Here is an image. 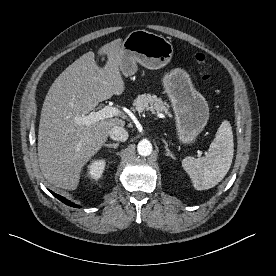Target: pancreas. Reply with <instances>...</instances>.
<instances>
[{"instance_id":"1","label":"pancreas","mask_w":276,"mask_h":276,"mask_svg":"<svg viewBox=\"0 0 276 276\" xmlns=\"http://www.w3.org/2000/svg\"><path fill=\"white\" fill-rule=\"evenodd\" d=\"M133 105L139 113L143 111L164 112L168 116H171L169 112V105L166 102L162 101L161 98H158L155 95H151V94L139 95L135 99Z\"/></svg>"}]
</instances>
